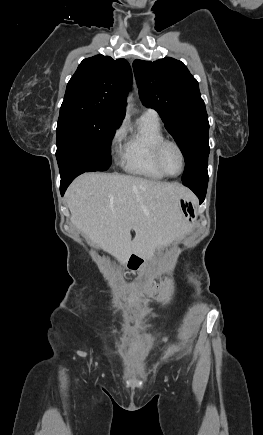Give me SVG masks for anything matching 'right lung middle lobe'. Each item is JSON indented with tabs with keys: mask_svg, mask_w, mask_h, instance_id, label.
<instances>
[{
	"mask_svg": "<svg viewBox=\"0 0 263 435\" xmlns=\"http://www.w3.org/2000/svg\"><path fill=\"white\" fill-rule=\"evenodd\" d=\"M120 123L92 109L60 108L56 158L60 174L73 168L106 171L111 140Z\"/></svg>",
	"mask_w": 263,
	"mask_h": 435,
	"instance_id": "obj_1",
	"label": "right lung middle lobe"
}]
</instances>
